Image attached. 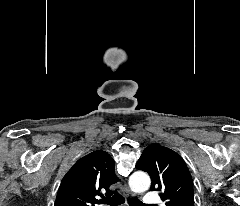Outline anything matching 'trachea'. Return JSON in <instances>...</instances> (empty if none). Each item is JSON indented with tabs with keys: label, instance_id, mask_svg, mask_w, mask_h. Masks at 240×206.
<instances>
[{
	"label": "trachea",
	"instance_id": "3493384b",
	"mask_svg": "<svg viewBox=\"0 0 240 206\" xmlns=\"http://www.w3.org/2000/svg\"><path fill=\"white\" fill-rule=\"evenodd\" d=\"M124 202V198L118 193L116 192L112 197L110 198H103L101 200V203H107L110 206H117L120 205ZM129 205L130 206H144V204L138 200V199H133L131 201H129Z\"/></svg>",
	"mask_w": 240,
	"mask_h": 206
}]
</instances>
